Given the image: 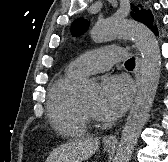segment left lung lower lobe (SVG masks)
I'll return each instance as SVG.
<instances>
[{
    "instance_id": "0a47b994",
    "label": "left lung lower lobe",
    "mask_w": 168,
    "mask_h": 162,
    "mask_svg": "<svg viewBox=\"0 0 168 162\" xmlns=\"http://www.w3.org/2000/svg\"><path fill=\"white\" fill-rule=\"evenodd\" d=\"M149 28L157 35L158 31H157V27L153 25V23L149 26Z\"/></svg>"
}]
</instances>
